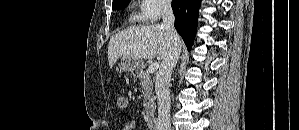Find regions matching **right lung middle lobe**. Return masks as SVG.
Returning <instances> with one entry per match:
<instances>
[{
  "mask_svg": "<svg viewBox=\"0 0 299 130\" xmlns=\"http://www.w3.org/2000/svg\"><path fill=\"white\" fill-rule=\"evenodd\" d=\"M131 0H116L115 2H113V9H117V8H124L126 7Z\"/></svg>",
  "mask_w": 299,
  "mask_h": 130,
  "instance_id": "right-lung-middle-lobe-1",
  "label": "right lung middle lobe"
}]
</instances>
